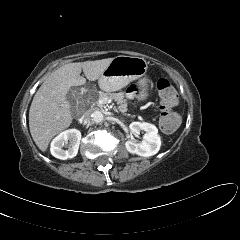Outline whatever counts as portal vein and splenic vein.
Wrapping results in <instances>:
<instances>
[{"label": "portal vein and splenic vein", "mask_w": 240, "mask_h": 240, "mask_svg": "<svg viewBox=\"0 0 240 240\" xmlns=\"http://www.w3.org/2000/svg\"><path fill=\"white\" fill-rule=\"evenodd\" d=\"M110 102H111V99H108V98H100L98 100L99 104H106V103H110Z\"/></svg>", "instance_id": "18ae733b"}]
</instances>
